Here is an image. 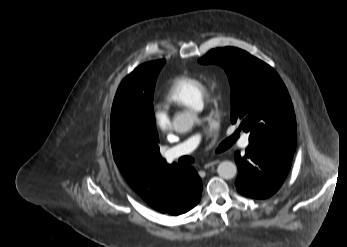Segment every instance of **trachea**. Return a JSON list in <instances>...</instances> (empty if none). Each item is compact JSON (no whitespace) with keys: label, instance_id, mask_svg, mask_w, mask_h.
Returning a JSON list of instances; mask_svg holds the SVG:
<instances>
[{"label":"trachea","instance_id":"1","mask_svg":"<svg viewBox=\"0 0 347 247\" xmlns=\"http://www.w3.org/2000/svg\"><path fill=\"white\" fill-rule=\"evenodd\" d=\"M236 138H237V135L234 136L233 138H231V139L229 140V142H228L226 148L230 147L231 144L233 143V141H234ZM193 161H194V160H193L191 157H183V158H181V159L179 160V162H181V163H187V164L192 163Z\"/></svg>","mask_w":347,"mask_h":247}]
</instances>
